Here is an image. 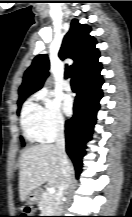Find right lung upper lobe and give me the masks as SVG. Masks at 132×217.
I'll return each instance as SVG.
<instances>
[{"label": "right lung upper lobe", "instance_id": "right-lung-upper-lobe-1", "mask_svg": "<svg viewBox=\"0 0 132 217\" xmlns=\"http://www.w3.org/2000/svg\"><path fill=\"white\" fill-rule=\"evenodd\" d=\"M91 28L73 19L70 29L63 39L59 51L60 59L71 58L73 65L66 66L65 78L75 77L78 83L87 82L100 77L102 69L98 62L99 51L95 48L96 40L90 36ZM49 59L46 54L34 58L32 65L26 70L23 83L19 88V99H23L42 88L49 75Z\"/></svg>", "mask_w": 132, "mask_h": 217}]
</instances>
